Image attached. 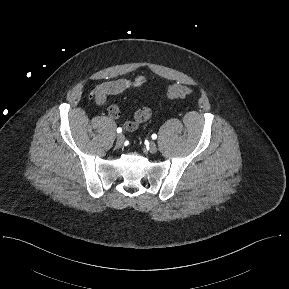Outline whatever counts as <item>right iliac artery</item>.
Instances as JSON below:
<instances>
[{
	"mask_svg": "<svg viewBox=\"0 0 289 289\" xmlns=\"http://www.w3.org/2000/svg\"><path fill=\"white\" fill-rule=\"evenodd\" d=\"M122 132V128H117V133H121Z\"/></svg>",
	"mask_w": 289,
	"mask_h": 289,
	"instance_id": "1",
	"label": "right iliac artery"
}]
</instances>
